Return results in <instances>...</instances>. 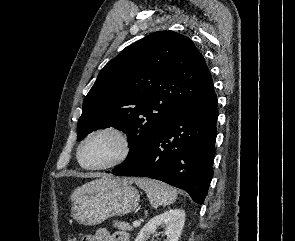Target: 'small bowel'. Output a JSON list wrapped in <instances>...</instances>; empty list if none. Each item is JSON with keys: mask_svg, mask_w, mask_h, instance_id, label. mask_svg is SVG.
<instances>
[{"mask_svg": "<svg viewBox=\"0 0 295 241\" xmlns=\"http://www.w3.org/2000/svg\"><path fill=\"white\" fill-rule=\"evenodd\" d=\"M83 241H129L124 232L109 233L106 229H98L94 235L85 236Z\"/></svg>", "mask_w": 295, "mask_h": 241, "instance_id": "1", "label": "small bowel"}]
</instances>
